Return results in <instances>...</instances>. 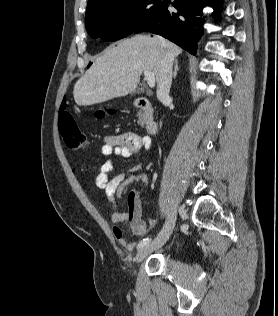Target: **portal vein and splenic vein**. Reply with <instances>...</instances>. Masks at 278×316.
<instances>
[{
	"label": "portal vein and splenic vein",
	"instance_id": "1",
	"mask_svg": "<svg viewBox=\"0 0 278 316\" xmlns=\"http://www.w3.org/2000/svg\"><path fill=\"white\" fill-rule=\"evenodd\" d=\"M145 78L149 87L153 88L155 86V75L152 71H144Z\"/></svg>",
	"mask_w": 278,
	"mask_h": 316
}]
</instances>
